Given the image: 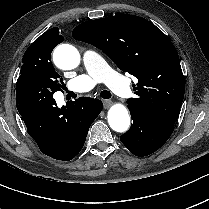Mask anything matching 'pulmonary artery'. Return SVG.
Segmentation results:
<instances>
[{
    "instance_id": "1",
    "label": "pulmonary artery",
    "mask_w": 209,
    "mask_h": 209,
    "mask_svg": "<svg viewBox=\"0 0 209 209\" xmlns=\"http://www.w3.org/2000/svg\"><path fill=\"white\" fill-rule=\"evenodd\" d=\"M85 73L69 82V88L76 93L90 91L97 83L105 82L121 98H129L132 95L130 87L110 69L102 56L93 49L83 52Z\"/></svg>"
}]
</instances>
